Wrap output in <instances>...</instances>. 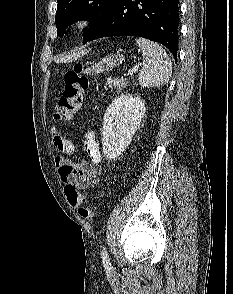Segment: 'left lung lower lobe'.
I'll use <instances>...</instances> for the list:
<instances>
[{
	"label": "left lung lower lobe",
	"mask_w": 233,
	"mask_h": 294,
	"mask_svg": "<svg viewBox=\"0 0 233 294\" xmlns=\"http://www.w3.org/2000/svg\"><path fill=\"white\" fill-rule=\"evenodd\" d=\"M178 25V0H114L88 41L109 36L144 37L163 44L176 58Z\"/></svg>",
	"instance_id": "0a47b994"
}]
</instances>
